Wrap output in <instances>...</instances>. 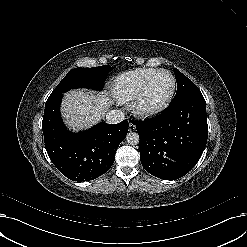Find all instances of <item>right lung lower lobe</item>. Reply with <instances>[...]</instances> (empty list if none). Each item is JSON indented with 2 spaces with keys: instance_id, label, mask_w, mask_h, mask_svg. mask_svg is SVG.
<instances>
[{
  "instance_id": "1",
  "label": "right lung lower lobe",
  "mask_w": 247,
  "mask_h": 247,
  "mask_svg": "<svg viewBox=\"0 0 247 247\" xmlns=\"http://www.w3.org/2000/svg\"><path fill=\"white\" fill-rule=\"evenodd\" d=\"M62 96L48 98L42 121L46 151L55 167L74 181H88L109 170L119 144L125 139L129 123H99L80 132L70 133L62 122Z\"/></svg>"
}]
</instances>
